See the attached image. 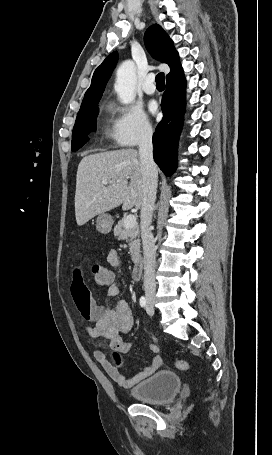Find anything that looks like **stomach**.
Instances as JSON below:
<instances>
[{
  "mask_svg": "<svg viewBox=\"0 0 272 455\" xmlns=\"http://www.w3.org/2000/svg\"><path fill=\"white\" fill-rule=\"evenodd\" d=\"M113 225L112 217L109 214L102 213L97 218V230L102 234H108Z\"/></svg>",
  "mask_w": 272,
  "mask_h": 455,
  "instance_id": "1",
  "label": "stomach"
}]
</instances>
